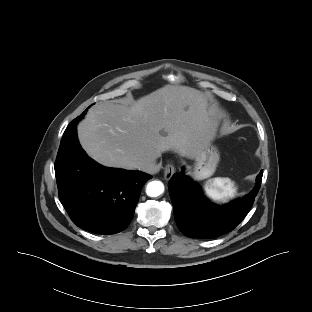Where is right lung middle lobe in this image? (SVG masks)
<instances>
[{
	"mask_svg": "<svg viewBox=\"0 0 312 312\" xmlns=\"http://www.w3.org/2000/svg\"><path fill=\"white\" fill-rule=\"evenodd\" d=\"M87 110H85L80 116H78L76 119H74L69 126L67 127L64 136L69 132V129L73 126H76L77 123L84 117V115L86 114Z\"/></svg>",
	"mask_w": 312,
	"mask_h": 312,
	"instance_id": "dd1d6c3e",
	"label": "right lung middle lobe"
}]
</instances>
